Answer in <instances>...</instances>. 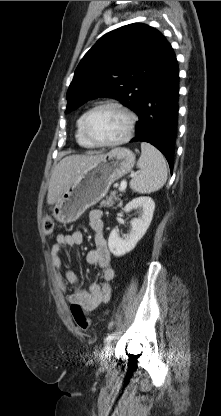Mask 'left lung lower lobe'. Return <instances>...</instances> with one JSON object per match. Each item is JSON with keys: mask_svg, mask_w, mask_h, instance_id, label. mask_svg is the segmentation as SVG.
Instances as JSON below:
<instances>
[{"mask_svg": "<svg viewBox=\"0 0 221 416\" xmlns=\"http://www.w3.org/2000/svg\"><path fill=\"white\" fill-rule=\"evenodd\" d=\"M179 71L175 54L167 42L153 80L144 92L137 114L136 136L130 142H149L166 157L173 170L177 134Z\"/></svg>", "mask_w": 221, "mask_h": 416, "instance_id": "1", "label": "left lung lower lobe"}]
</instances>
